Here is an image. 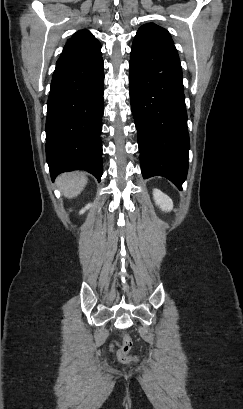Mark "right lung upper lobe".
<instances>
[{"label": "right lung upper lobe", "mask_w": 243, "mask_h": 409, "mask_svg": "<svg viewBox=\"0 0 243 409\" xmlns=\"http://www.w3.org/2000/svg\"><path fill=\"white\" fill-rule=\"evenodd\" d=\"M100 46L99 41L88 30L76 32L64 46L63 52L58 62L73 58Z\"/></svg>", "instance_id": "obj_1"}]
</instances>
